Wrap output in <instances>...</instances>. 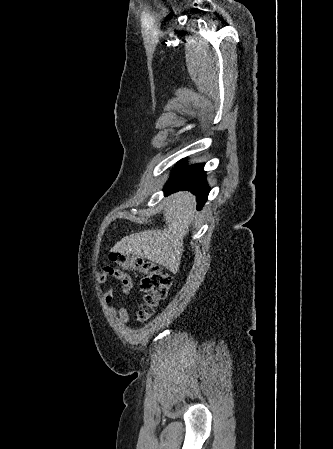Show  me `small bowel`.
Instances as JSON below:
<instances>
[{
    "mask_svg": "<svg viewBox=\"0 0 333 449\" xmlns=\"http://www.w3.org/2000/svg\"><path fill=\"white\" fill-rule=\"evenodd\" d=\"M108 276L114 277L121 283L120 291L123 295H128L130 293L133 286V281L128 273H126L122 269H118L112 266H104L102 271L96 274V279L100 284H102L107 280ZM115 290V287H110L105 292L101 290L102 299L109 312L116 317L118 322L121 324H125L129 320L127 310L124 307H121L117 310L112 305Z\"/></svg>",
    "mask_w": 333,
    "mask_h": 449,
    "instance_id": "small-bowel-1",
    "label": "small bowel"
}]
</instances>
